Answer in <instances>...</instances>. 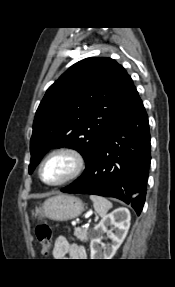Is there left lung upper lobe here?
<instances>
[{
	"label": "left lung upper lobe",
	"instance_id": "left-lung-upper-lobe-1",
	"mask_svg": "<svg viewBox=\"0 0 175 287\" xmlns=\"http://www.w3.org/2000/svg\"><path fill=\"white\" fill-rule=\"evenodd\" d=\"M138 99L131 77L111 58H87L71 66L48 88L36 111L29 173L48 150L65 146L83 156V176L103 138Z\"/></svg>",
	"mask_w": 175,
	"mask_h": 287
}]
</instances>
